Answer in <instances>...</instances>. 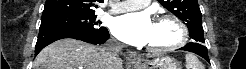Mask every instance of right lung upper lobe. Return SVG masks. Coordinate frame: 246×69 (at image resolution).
<instances>
[{
    "label": "right lung upper lobe",
    "mask_w": 246,
    "mask_h": 69,
    "mask_svg": "<svg viewBox=\"0 0 246 69\" xmlns=\"http://www.w3.org/2000/svg\"><path fill=\"white\" fill-rule=\"evenodd\" d=\"M99 0H46L42 17L58 14L95 13Z\"/></svg>",
    "instance_id": "right-lung-upper-lobe-1"
}]
</instances>
